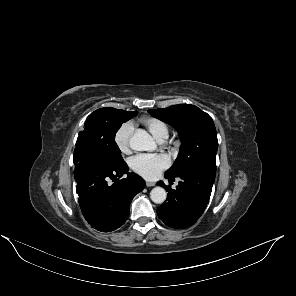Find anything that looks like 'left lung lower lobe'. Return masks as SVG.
<instances>
[{
    "label": "left lung lower lobe",
    "mask_w": 296,
    "mask_h": 296,
    "mask_svg": "<svg viewBox=\"0 0 296 296\" xmlns=\"http://www.w3.org/2000/svg\"><path fill=\"white\" fill-rule=\"evenodd\" d=\"M216 169L201 167L177 176L181 181L176 190L162 181L157 185L168 191L167 201L157 208L159 218L172 228H187L193 225L204 212L209 201ZM174 180L175 177H169Z\"/></svg>",
    "instance_id": "1"
}]
</instances>
